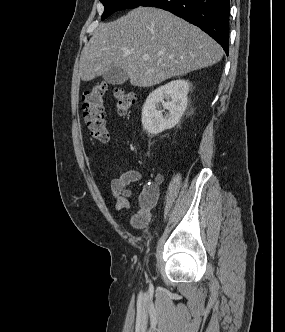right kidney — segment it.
Instances as JSON below:
<instances>
[{
  "mask_svg": "<svg viewBox=\"0 0 285 332\" xmlns=\"http://www.w3.org/2000/svg\"><path fill=\"white\" fill-rule=\"evenodd\" d=\"M188 91V81L179 79L160 86L150 93L142 109L143 128L152 135L173 128L186 110ZM160 103L163 109L168 111L165 115L162 113Z\"/></svg>",
  "mask_w": 285,
  "mask_h": 332,
  "instance_id": "right-kidney-1",
  "label": "right kidney"
}]
</instances>
